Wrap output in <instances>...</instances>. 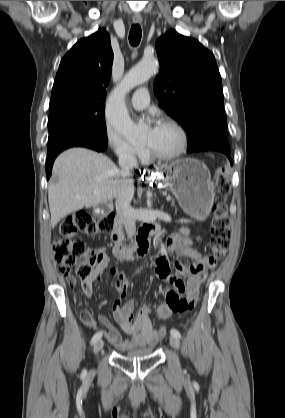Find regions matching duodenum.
I'll return each instance as SVG.
<instances>
[{
    "label": "duodenum",
    "instance_id": "1",
    "mask_svg": "<svg viewBox=\"0 0 285 418\" xmlns=\"http://www.w3.org/2000/svg\"><path fill=\"white\" fill-rule=\"evenodd\" d=\"M156 231L157 228L148 229L149 234H152ZM148 233L140 237L134 245L127 246L123 243L122 222L119 219H117L111 232V240L113 243L112 252L114 257L119 260H131L138 257L146 256L150 249Z\"/></svg>",
    "mask_w": 285,
    "mask_h": 418
}]
</instances>
